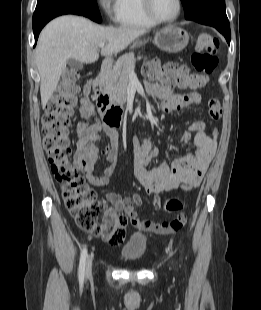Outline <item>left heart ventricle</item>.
Segmentation results:
<instances>
[{
	"label": "left heart ventricle",
	"instance_id": "b2bd125f",
	"mask_svg": "<svg viewBox=\"0 0 261 310\" xmlns=\"http://www.w3.org/2000/svg\"><path fill=\"white\" fill-rule=\"evenodd\" d=\"M152 8L159 18L169 19L177 12V0H152Z\"/></svg>",
	"mask_w": 261,
	"mask_h": 310
}]
</instances>
